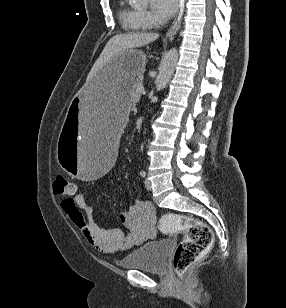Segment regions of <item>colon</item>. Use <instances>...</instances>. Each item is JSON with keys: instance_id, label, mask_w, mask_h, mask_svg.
<instances>
[{"instance_id": "5ec220e1", "label": "colon", "mask_w": 286, "mask_h": 308, "mask_svg": "<svg viewBox=\"0 0 286 308\" xmlns=\"http://www.w3.org/2000/svg\"><path fill=\"white\" fill-rule=\"evenodd\" d=\"M53 190L59 196H71L75 192V184L63 177L56 178ZM159 229L163 233L183 232L184 239L177 246L173 256V267L179 276L183 274L212 246L214 235L203 222L181 214H163Z\"/></svg>"}]
</instances>
